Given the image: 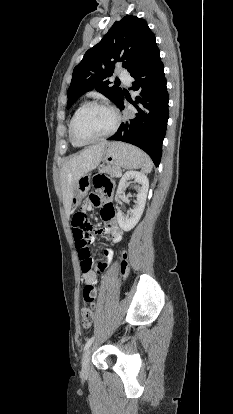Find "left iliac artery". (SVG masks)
I'll use <instances>...</instances> for the list:
<instances>
[{
    "label": "left iliac artery",
    "instance_id": "1",
    "mask_svg": "<svg viewBox=\"0 0 233 414\" xmlns=\"http://www.w3.org/2000/svg\"><path fill=\"white\" fill-rule=\"evenodd\" d=\"M94 338L95 337H91V338H89L88 340H87V342H86V344H85V347H84V351H86L90 346H91V344L93 343V341H94Z\"/></svg>",
    "mask_w": 233,
    "mask_h": 414
}]
</instances>
